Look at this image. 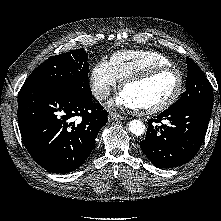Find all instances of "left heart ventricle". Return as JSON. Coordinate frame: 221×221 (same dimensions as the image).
Masks as SVG:
<instances>
[{
  "instance_id": "obj_1",
  "label": "left heart ventricle",
  "mask_w": 221,
  "mask_h": 221,
  "mask_svg": "<svg viewBox=\"0 0 221 221\" xmlns=\"http://www.w3.org/2000/svg\"><path fill=\"white\" fill-rule=\"evenodd\" d=\"M177 86L178 75L175 72H164L131 84L122 92L135 109H145L166 101L174 94Z\"/></svg>"
}]
</instances>
